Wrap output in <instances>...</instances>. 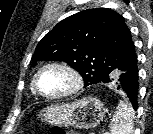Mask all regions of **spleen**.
<instances>
[{"mask_svg": "<svg viewBox=\"0 0 153 134\" xmlns=\"http://www.w3.org/2000/svg\"><path fill=\"white\" fill-rule=\"evenodd\" d=\"M133 110L120 101L110 123L111 134H133Z\"/></svg>", "mask_w": 153, "mask_h": 134, "instance_id": "3e777b00", "label": "spleen"}]
</instances>
